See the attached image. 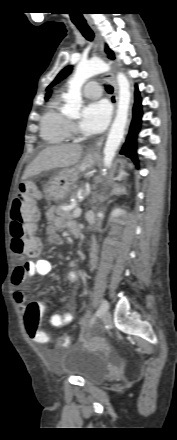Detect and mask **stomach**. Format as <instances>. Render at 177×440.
<instances>
[{
	"label": "stomach",
	"instance_id": "obj_1",
	"mask_svg": "<svg viewBox=\"0 0 177 440\" xmlns=\"http://www.w3.org/2000/svg\"><path fill=\"white\" fill-rule=\"evenodd\" d=\"M97 162V157L85 155L79 164L72 168L59 170L44 186V196L49 201H61L71 191L79 174L92 168Z\"/></svg>",
	"mask_w": 177,
	"mask_h": 440
}]
</instances>
